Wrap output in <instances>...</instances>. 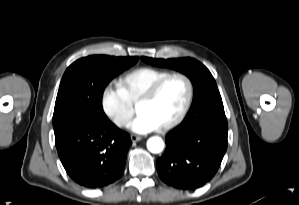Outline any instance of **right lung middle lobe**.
I'll return each instance as SVG.
<instances>
[{"label": "right lung middle lobe", "instance_id": "obj_1", "mask_svg": "<svg viewBox=\"0 0 299 205\" xmlns=\"http://www.w3.org/2000/svg\"><path fill=\"white\" fill-rule=\"evenodd\" d=\"M136 62L128 57L93 55L71 64L62 77L55 102V134L85 117L106 119L101 104L105 87L116 75Z\"/></svg>", "mask_w": 299, "mask_h": 205}]
</instances>
